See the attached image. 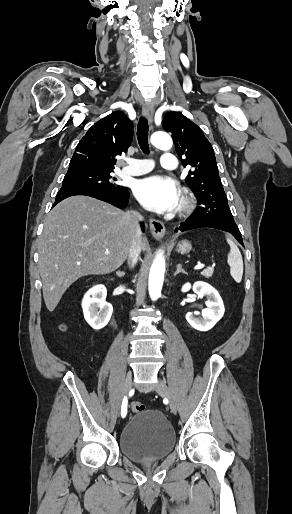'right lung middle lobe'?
Returning a JSON list of instances; mask_svg holds the SVG:
<instances>
[{
    "label": "right lung middle lobe",
    "mask_w": 292,
    "mask_h": 514,
    "mask_svg": "<svg viewBox=\"0 0 292 514\" xmlns=\"http://www.w3.org/2000/svg\"><path fill=\"white\" fill-rule=\"evenodd\" d=\"M112 172H67L63 179L62 187L86 186L105 190L123 188V186L114 182L116 178L111 177Z\"/></svg>",
    "instance_id": "dd1d6c3e"
}]
</instances>
